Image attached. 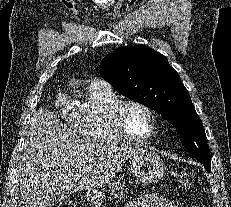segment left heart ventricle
Returning a JSON list of instances; mask_svg holds the SVG:
<instances>
[{"label": "left heart ventricle", "mask_w": 231, "mask_h": 207, "mask_svg": "<svg viewBox=\"0 0 231 207\" xmlns=\"http://www.w3.org/2000/svg\"><path fill=\"white\" fill-rule=\"evenodd\" d=\"M124 121L135 137H146L151 132V121L147 112L137 106H129L124 112Z\"/></svg>", "instance_id": "obj_1"}]
</instances>
